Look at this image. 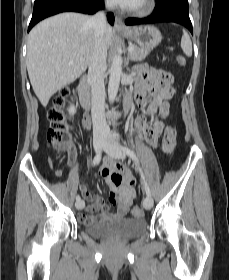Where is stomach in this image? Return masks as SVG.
Here are the masks:
<instances>
[{"mask_svg": "<svg viewBox=\"0 0 229 280\" xmlns=\"http://www.w3.org/2000/svg\"><path fill=\"white\" fill-rule=\"evenodd\" d=\"M122 35L134 41L144 49H153L158 46L162 40L160 31L151 25L129 28L128 31Z\"/></svg>", "mask_w": 229, "mask_h": 280, "instance_id": "stomach-1", "label": "stomach"}]
</instances>
